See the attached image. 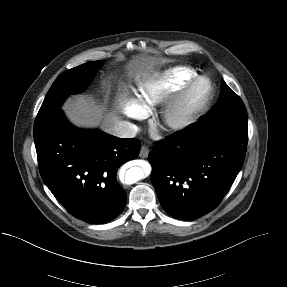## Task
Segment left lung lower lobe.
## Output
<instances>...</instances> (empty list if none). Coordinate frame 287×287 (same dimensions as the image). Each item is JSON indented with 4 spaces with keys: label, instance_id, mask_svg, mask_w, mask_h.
Returning <instances> with one entry per match:
<instances>
[{
    "label": "left lung lower lobe",
    "instance_id": "0a47b994",
    "mask_svg": "<svg viewBox=\"0 0 287 287\" xmlns=\"http://www.w3.org/2000/svg\"><path fill=\"white\" fill-rule=\"evenodd\" d=\"M247 142L248 130L214 129L201 117L156 142L151 181L163 209L193 220L216 208L242 168Z\"/></svg>",
    "mask_w": 287,
    "mask_h": 287
}]
</instances>
